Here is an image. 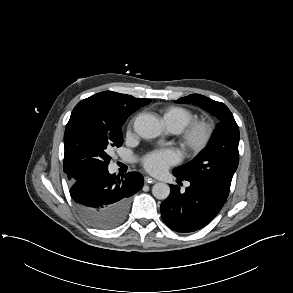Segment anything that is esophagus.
<instances>
[{"label":"esophagus","mask_w":293,"mask_h":293,"mask_svg":"<svg viewBox=\"0 0 293 293\" xmlns=\"http://www.w3.org/2000/svg\"><path fill=\"white\" fill-rule=\"evenodd\" d=\"M145 181H146L147 183H155V182H156V180H155L154 178H151V177H149V176H146V177H145Z\"/></svg>","instance_id":"1"}]
</instances>
